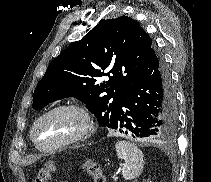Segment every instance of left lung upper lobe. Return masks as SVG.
Here are the masks:
<instances>
[{"instance_id":"5c2ea615","label":"left lung upper lobe","mask_w":211,"mask_h":182,"mask_svg":"<svg viewBox=\"0 0 211 182\" xmlns=\"http://www.w3.org/2000/svg\"><path fill=\"white\" fill-rule=\"evenodd\" d=\"M153 47L152 39L132 18L102 19L49 64L35 88L32 107L75 97L96 116L99 126L115 129L125 92ZM105 69L110 71L102 73ZM104 75L109 80L102 83Z\"/></svg>"}]
</instances>
